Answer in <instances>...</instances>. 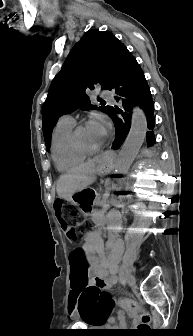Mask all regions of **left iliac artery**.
<instances>
[{"label":"left iliac artery","mask_w":193,"mask_h":336,"mask_svg":"<svg viewBox=\"0 0 193 336\" xmlns=\"http://www.w3.org/2000/svg\"><path fill=\"white\" fill-rule=\"evenodd\" d=\"M119 276H120V281L124 282V279H125L124 271H121L120 274H119Z\"/></svg>","instance_id":"left-iliac-artery-1"}]
</instances>
